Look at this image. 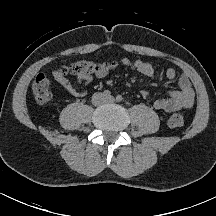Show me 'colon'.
<instances>
[{"instance_id": "5ec220e1", "label": "colon", "mask_w": 216, "mask_h": 216, "mask_svg": "<svg viewBox=\"0 0 216 216\" xmlns=\"http://www.w3.org/2000/svg\"><path fill=\"white\" fill-rule=\"evenodd\" d=\"M110 68L109 64L94 61H80L65 70L78 75H95ZM32 93L39 105H46L52 99L51 82L44 74H39L33 81ZM184 122V116L180 112L173 113L168 120L171 128L180 127Z\"/></svg>"}]
</instances>
